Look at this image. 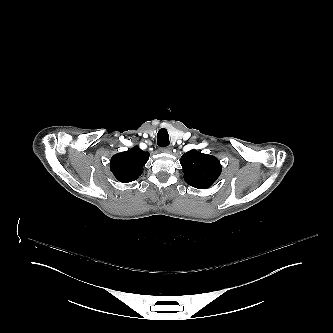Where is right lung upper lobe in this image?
<instances>
[{
  "mask_svg": "<svg viewBox=\"0 0 333 333\" xmlns=\"http://www.w3.org/2000/svg\"><path fill=\"white\" fill-rule=\"evenodd\" d=\"M148 159L149 153L135 146L115 154L110 161V169L120 182H132L142 174V167Z\"/></svg>",
  "mask_w": 333,
  "mask_h": 333,
  "instance_id": "1",
  "label": "right lung upper lobe"
}]
</instances>
